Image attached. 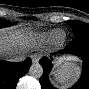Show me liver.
<instances>
[{"label":"liver","mask_w":89,"mask_h":89,"mask_svg":"<svg viewBox=\"0 0 89 89\" xmlns=\"http://www.w3.org/2000/svg\"><path fill=\"white\" fill-rule=\"evenodd\" d=\"M33 37L24 30H2L0 33V52L2 56L25 54Z\"/></svg>","instance_id":"liver-1"}]
</instances>
